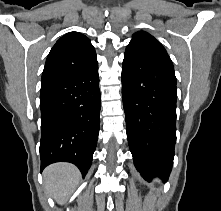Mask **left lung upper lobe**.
Instances as JSON below:
<instances>
[{"mask_svg": "<svg viewBox=\"0 0 221 211\" xmlns=\"http://www.w3.org/2000/svg\"><path fill=\"white\" fill-rule=\"evenodd\" d=\"M126 55L137 56L174 69L172 61L162 44L152 35L143 31L133 35L132 40L126 48Z\"/></svg>", "mask_w": 221, "mask_h": 211, "instance_id": "left-lung-upper-lobe-1", "label": "left lung upper lobe"}]
</instances>
